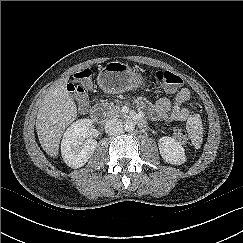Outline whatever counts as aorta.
Wrapping results in <instances>:
<instances>
[{"instance_id": "762f6f07", "label": "aorta", "mask_w": 243, "mask_h": 243, "mask_svg": "<svg viewBox=\"0 0 243 243\" xmlns=\"http://www.w3.org/2000/svg\"><path fill=\"white\" fill-rule=\"evenodd\" d=\"M123 127L126 132H132L135 128V125L132 121H126Z\"/></svg>"}]
</instances>
